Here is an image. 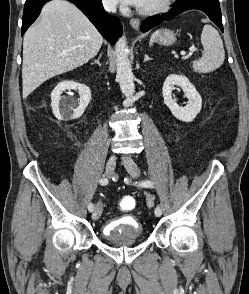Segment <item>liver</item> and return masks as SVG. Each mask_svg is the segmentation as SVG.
I'll use <instances>...</instances> for the list:
<instances>
[{"label": "liver", "instance_id": "liver-1", "mask_svg": "<svg viewBox=\"0 0 249 294\" xmlns=\"http://www.w3.org/2000/svg\"><path fill=\"white\" fill-rule=\"evenodd\" d=\"M103 38L72 3L52 0L23 41L22 95L26 98L48 79L74 70L95 57Z\"/></svg>", "mask_w": 249, "mask_h": 294}]
</instances>
